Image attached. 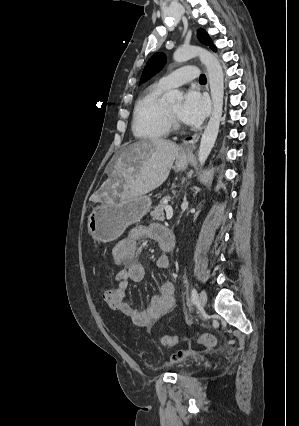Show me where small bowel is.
I'll use <instances>...</instances> for the list:
<instances>
[{"label":"small bowel","mask_w":299,"mask_h":426,"mask_svg":"<svg viewBox=\"0 0 299 426\" xmlns=\"http://www.w3.org/2000/svg\"><path fill=\"white\" fill-rule=\"evenodd\" d=\"M165 228L159 224L148 226H138L132 229L129 234L121 239L113 248V258L116 264L122 269L114 276L117 286L127 292L129 282H140L144 277V267L138 261L137 251L139 244L146 238L161 243L162 232ZM170 264L166 255L160 256L156 261L157 269L168 268ZM176 304L175 287L170 281L161 284L159 293L152 297L150 304L144 308L133 307L125 301L121 312L130 317L132 322L138 326L150 328L162 317L170 313ZM185 352H178L173 355L172 360L182 359Z\"/></svg>","instance_id":"small-bowel-1"}]
</instances>
